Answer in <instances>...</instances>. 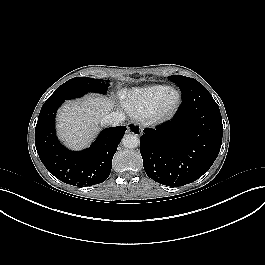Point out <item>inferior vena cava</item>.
<instances>
[{"label":"inferior vena cava","mask_w":265,"mask_h":265,"mask_svg":"<svg viewBox=\"0 0 265 265\" xmlns=\"http://www.w3.org/2000/svg\"><path fill=\"white\" fill-rule=\"evenodd\" d=\"M125 120V116L122 112H111L103 117L101 124L107 126H119Z\"/></svg>","instance_id":"602c4592"}]
</instances>
